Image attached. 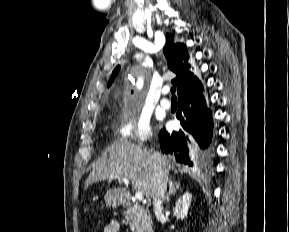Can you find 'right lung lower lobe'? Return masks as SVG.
<instances>
[{
	"label": "right lung lower lobe",
	"instance_id": "right-lung-lower-lobe-1",
	"mask_svg": "<svg viewBox=\"0 0 289 232\" xmlns=\"http://www.w3.org/2000/svg\"><path fill=\"white\" fill-rule=\"evenodd\" d=\"M179 100L177 118L183 131L168 133L165 129L159 135L161 150L172 155L180 163L193 166L188 157L190 151L196 158L201 150L212 147V112L207 108L202 90L182 96Z\"/></svg>",
	"mask_w": 289,
	"mask_h": 232
}]
</instances>
